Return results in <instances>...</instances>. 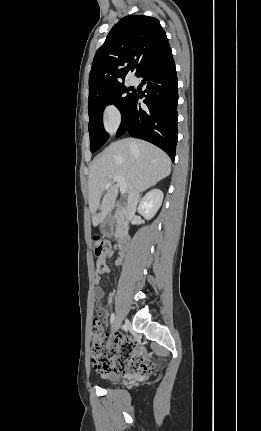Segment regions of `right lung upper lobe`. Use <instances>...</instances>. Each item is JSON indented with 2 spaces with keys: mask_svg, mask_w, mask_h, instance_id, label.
<instances>
[{
  "mask_svg": "<svg viewBox=\"0 0 261 431\" xmlns=\"http://www.w3.org/2000/svg\"><path fill=\"white\" fill-rule=\"evenodd\" d=\"M169 47L156 18L129 15L109 32L97 50L89 75V95L120 83L134 68L135 75Z\"/></svg>",
  "mask_w": 261,
  "mask_h": 431,
  "instance_id": "right-lung-upper-lobe-1",
  "label": "right lung upper lobe"
}]
</instances>
